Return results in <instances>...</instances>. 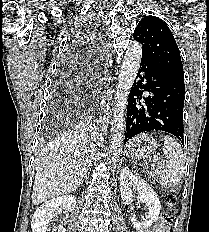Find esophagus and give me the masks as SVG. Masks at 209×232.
I'll list each match as a JSON object with an SVG mask.
<instances>
[{
    "label": "esophagus",
    "mask_w": 209,
    "mask_h": 232,
    "mask_svg": "<svg viewBox=\"0 0 209 232\" xmlns=\"http://www.w3.org/2000/svg\"><path fill=\"white\" fill-rule=\"evenodd\" d=\"M105 103H106V97H105V95H104V96H102V98H101V108H102L103 110H104Z\"/></svg>",
    "instance_id": "34e87169"
}]
</instances>
